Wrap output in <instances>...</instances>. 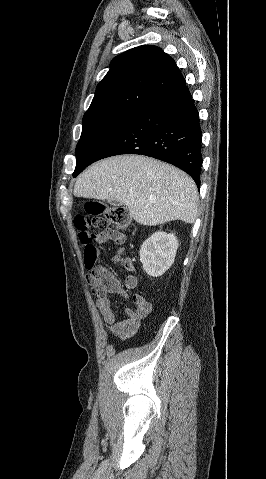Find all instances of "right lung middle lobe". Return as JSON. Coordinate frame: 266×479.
Returning a JSON list of instances; mask_svg holds the SVG:
<instances>
[{"instance_id":"obj_1","label":"right lung middle lobe","mask_w":266,"mask_h":479,"mask_svg":"<svg viewBox=\"0 0 266 479\" xmlns=\"http://www.w3.org/2000/svg\"><path fill=\"white\" fill-rule=\"evenodd\" d=\"M141 110L118 109L83 118V129L76 146V177L95 162L105 147L136 117Z\"/></svg>"}]
</instances>
